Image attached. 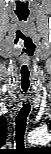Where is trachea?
I'll return each instance as SVG.
<instances>
[{
	"instance_id": "1",
	"label": "trachea",
	"mask_w": 51,
	"mask_h": 154,
	"mask_svg": "<svg viewBox=\"0 0 51 154\" xmlns=\"http://www.w3.org/2000/svg\"><path fill=\"white\" fill-rule=\"evenodd\" d=\"M27 116L28 111L22 108L19 115L16 117V141L20 140L23 142Z\"/></svg>"
}]
</instances>
